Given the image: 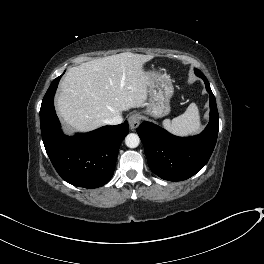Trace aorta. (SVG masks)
<instances>
[{
  "label": "aorta",
  "mask_w": 264,
  "mask_h": 264,
  "mask_svg": "<svg viewBox=\"0 0 264 264\" xmlns=\"http://www.w3.org/2000/svg\"><path fill=\"white\" fill-rule=\"evenodd\" d=\"M140 143V138L135 133H130L125 138V144L129 148H136Z\"/></svg>",
  "instance_id": "762f6f07"
}]
</instances>
